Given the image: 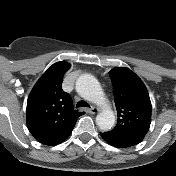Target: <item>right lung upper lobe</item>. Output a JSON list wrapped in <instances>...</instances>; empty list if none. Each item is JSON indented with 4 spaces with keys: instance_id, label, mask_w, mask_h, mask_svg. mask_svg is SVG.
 Wrapping results in <instances>:
<instances>
[{
    "instance_id": "1",
    "label": "right lung upper lobe",
    "mask_w": 176,
    "mask_h": 176,
    "mask_svg": "<svg viewBox=\"0 0 176 176\" xmlns=\"http://www.w3.org/2000/svg\"><path fill=\"white\" fill-rule=\"evenodd\" d=\"M67 62L53 64L33 87L27 102V126L35 139L46 145L61 143L72 132L82 113L73 109L70 94L62 90Z\"/></svg>"
}]
</instances>
